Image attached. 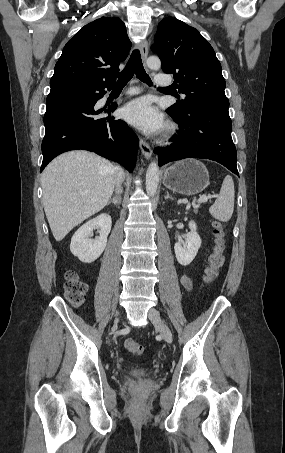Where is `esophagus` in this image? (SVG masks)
<instances>
[{
    "label": "esophagus",
    "mask_w": 285,
    "mask_h": 453,
    "mask_svg": "<svg viewBox=\"0 0 285 453\" xmlns=\"http://www.w3.org/2000/svg\"><path fill=\"white\" fill-rule=\"evenodd\" d=\"M140 52H141V56H142L143 61H146L147 56H148V42H147V40H143L141 42V44H140ZM139 145H140V149H141V152H142L143 156L146 159H150L151 156H152V149H151L150 145L142 138H140Z\"/></svg>",
    "instance_id": "obj_1"
}]
</instances>
